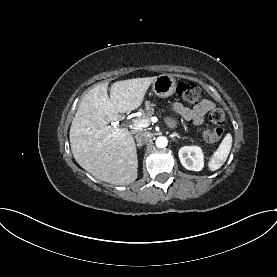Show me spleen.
Here are the masks:
<instances>
[{
	"mask_svg": "<svg viewBox=\"0 0 277 277\" xmlns=\"http://www.w3.org/2000/svg\"><path fill=\"white\" fill-rule=\"evenodd\" d=\"M232 141V135L230 133L226 134L208 163L210 170L215 171L224 164L230 153Z\"/></svg>",
	"mask_w": 277,
	"mask_h": 277,
	"instance_id": "3e777b00",
	"label": "spleen"
}]
</instances>
